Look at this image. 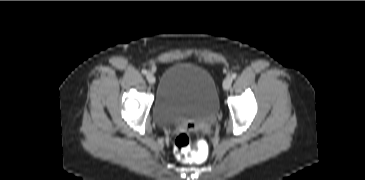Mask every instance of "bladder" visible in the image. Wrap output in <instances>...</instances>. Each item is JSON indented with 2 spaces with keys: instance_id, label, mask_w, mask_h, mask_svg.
<instances>
[{
  "instance_id": "bladder-1",
  "label": "bladder",
  "mask_w": 365,
  "mask_h": 180,
  "mask_svg": "<svg viewBox=\"0 0 365 180\" xmlns=\"http://www.w3.org/2000/svg\"><path fill=\"white\" fill-rule=\"evenodd\" d=\"M216 81L205 68L188 62L168 66L157 84L153 117L162 127L213 119L219 112Z\"/></svg>"
}]
</instances>
